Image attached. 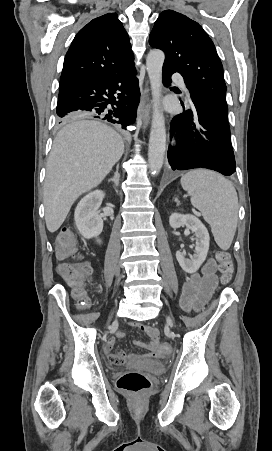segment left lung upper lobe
Segmentation results:
<instances>
[{
  "label": "left lung upper lobe",
  "mask_w": 272,
  "mask_h": 451,
  "mask_svg": "<svg viewBox=\"0 0 272 451\" xmlns=\"http://www.w3.org/2000/svg\"><path fill=\"white\" fill-rule=\"evenodd\" d=\"M149 44L164 51L163 67L183 76L191 98L228 116L222 63L212 40L197 22L173 10L163 11Z\"/></svg>",
  "instance_id": "5c2ea615"
}]
</instances>
